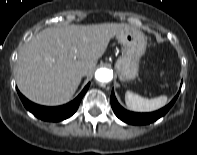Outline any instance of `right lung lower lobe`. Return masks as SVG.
<instances>
[{
	"mask_svg": "<svg viewBox=\"0 0 197 155\" xmlns=\"http://www.w3.org/2000/svg\"><path fill=\"white\" fill-rule=\"evenodd\" d=\"M89 85L90 83H88L85 86L82 92L73 101L65 105L58 106V107H46V106L37 105L29 101L27 98H25L19 92L18 89H17V92L25 108L28 111H30L34 116L44 121L58 122V121H62L64 119L69 118L76 112V110L79 107L82 97L84 96V94L89 88Z\"/></svg>",
	"mask_w": 197,
	"mask_h": 155,
	"instance_id": "obj_1",
	"label": "right lung lower lobe"
}]
</instances>
